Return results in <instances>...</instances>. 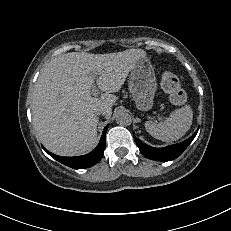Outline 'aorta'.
Instances as JSON below:
<instances>
[{"label":"aorta","mask_w":231,"mask_h":231,"mask_svg":"<svg viewBox=\"0 0 231 231\" xmlns=\"http://www.w3.org/2000/svg\"><path fill=\"white\" fill-rule=\"evenodd\" d=\"M116 123L120 126H129L132 123V118L128 113L120 112L116 116Z\"/></svg>","instance_id":"aorta-1"}]
</instances>
